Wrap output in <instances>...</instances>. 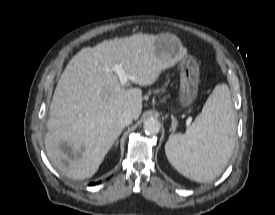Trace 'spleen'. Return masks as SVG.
I'll list each match as a JSON object with an SVG mask.
<instances>
[{
    "mask_svg": "<svg viewBox=\"0 0 275 215\" xmlns=\"http://www.w3.org/2000/svg\"><path fill=\"white\" fill-rule=\"evenodd\" d=\"M236 121L230 91L217 85L184 135H172L165 152L172 166L196 182H208L227 165L235 144Z\"/></svg>",
    "mask_w": 275,
    "mask_h": 215,
    "instance_id": "obj_1",
    "label": "spleen"
}]
</instances>
